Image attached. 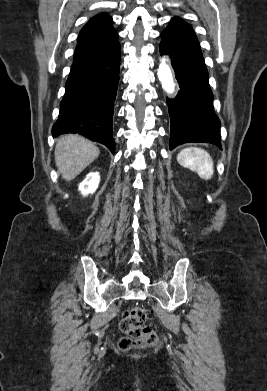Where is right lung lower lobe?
Wrapping results in <instances>:
<instances>
[{
  "label": "right lung lower lobe",
  "instance_id": "obj_1",
  "mask_svg": "<svg viewBox=\"0 0 267 391\" xmlns=\"http://www.w3.org/2000/svg\"><path fill=\"white\" fill-rule=\"evenodd\" d=\"M119 42L100 52L73 60L58 120L52 135L78 133L114 153L113 110L120 68Z\"/></svg>",
  "mask_w": 267,
  "mask_h": 391
}]
</instances>
